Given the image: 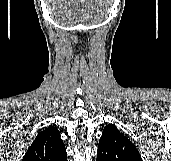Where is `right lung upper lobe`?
I'll return each instance as SVG.
<instances>
[{"mask_svg":"<svg viewBox=\"0 0 171 161\" xmlns=\"http://www.w3.org/2000/svg\"><path fill=\"white\" fill-rule=\"evenodd\" d=\"M22 161H67V153L58 129L50 126L38 133Z\"/></svg>","mask_w":171,"mask_h":161,"instance_id":"cb5924a9","label":"right lung upper lobe"}]
</instances>
